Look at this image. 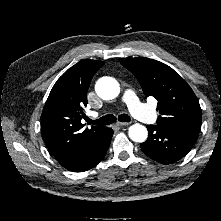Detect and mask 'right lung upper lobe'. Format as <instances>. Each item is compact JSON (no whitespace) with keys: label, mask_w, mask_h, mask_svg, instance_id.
I'll return each instance as SVG.
<instances>
[{"label":"right lung upper lobe","mask_w":221,"mask_h":221,"mask_svg":"<svg viewBox=\"0 0 221 221\" xmlns=\"http://www.w3.org/2000/svg\"><path fill=\"white\" fill-rule=\"evenodd\" d=\"M104 65L82 60L66 71L54 84L41 115L43 139L59 163L92 144L106 127L83 129L87 91L93 75Z\"/></svg>","instance_id":"cb5924a9"}]
</instances>
